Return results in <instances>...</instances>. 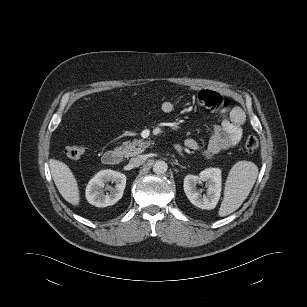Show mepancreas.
<instances>
[{"instance_id":"pancreas-1","label":"pancreas","mask_w":307,"mask_h":307,"mask_svg":"<svg viewBox=\"0 0 307 307\" xmlns=\"http://www.w3.org/2000/svg\"><path fill=\"white\" fill-rule=\"evenodd\" d=\"M149 146L150 142L135 139L133 141L124 142L123 146L119 147L118 149L126 158H128L144 152V150Z\"/></svg>"}]
</instances>
